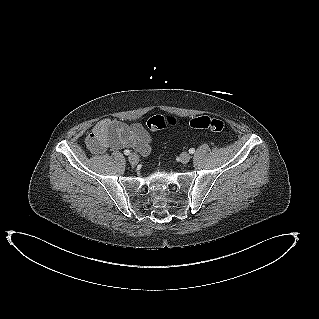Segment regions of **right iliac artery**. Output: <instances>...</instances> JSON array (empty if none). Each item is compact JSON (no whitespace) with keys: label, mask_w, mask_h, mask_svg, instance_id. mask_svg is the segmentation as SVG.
<instances>
[{"label":"right iliac artery","mask_w":319,"mask_h":319,"mask_svg":"<svg viewBox=\"0 0 319 319\" xmlns=\"http://www.w3.org/2000/svg\"><path fill=\"white\" fill-rule=\"evenodd\" d=\"M124 154H125V155H129V154H130V151H129V150H124Z\"/></svg>","instance_id":"1"}]
</instances>
